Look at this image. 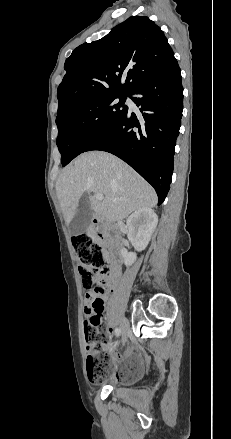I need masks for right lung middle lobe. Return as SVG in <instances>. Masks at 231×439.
I'll use <instances>...</instances> for the list:
<instances>
[{"label":"right lung middle lobe","mask_w":231,"mask_h":439,"mask_svg":"<svg viewBox=\"0 0 231 439\" xmlns=\"http://www.w3.org/2000/svg\"><path fill=\"white\" fill-rule=\"evenodd\" d=\"M130 94L97 97L81 101L57 115V145L66 166L87 146L112 127L129 109Z\"/></svg>","instance_id":"dd1d6c3e"}]
</instances>
